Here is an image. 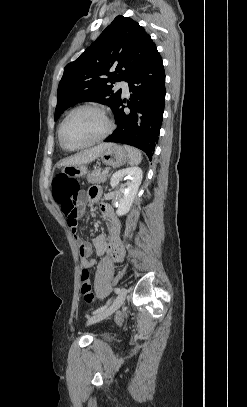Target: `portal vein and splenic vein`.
<instances>
[{
  "instance_id": "portal-vein-and-splenic-vein-1",
  "label": "portal vein and splenic vein",
  "mask_w": 247,
  "mask_h": 407,
  "mask_svg": "<svg viewBox=\"0 0 247 407\" xmlns=\"http://www.w3.org/2000/svg\"><path fill=\"white\" fill-rule=\"evenodd\" d=\"M109 171L108 170H104L103 171V174H107Z\"/></svg>"
}]
</instances>
